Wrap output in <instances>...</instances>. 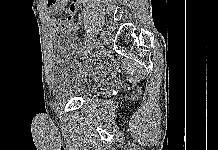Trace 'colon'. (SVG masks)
<instances>
[{"label": "colon", "mask_w": 218, "mask_h": 150, "mask_svg": "<svg viewBox=\"0 0 218 150\" xmlns=\"http://www.w3.org/2000/svg\"><path fill=\"white\" fill-rule=\"evenodd\" d=\"M55 0H50V2H54Z\"/></svg>", "instance_id": "colon-1"}]
</instances>
